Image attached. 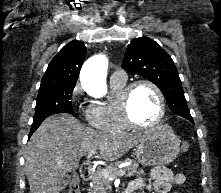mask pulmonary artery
Returning <instances> with one entry per match:
<instances>
[{
  "instance_id": "pulmonary-artery-1",
  "label": "pulmonary artery",
  "mask_w": 221,
  "mask_h": 193,
  "mask_svg": "<svg viewBox=\"0 0 221 193\" xmlns=\"http://www.w3.org/2000/svg\"><path fill=\"white\" fill-rule=\"evenodd\" d=\"M126 72L122 69H117L111 76V80L123 81L126 80Z\"/></svg>"
}]
</instances>
